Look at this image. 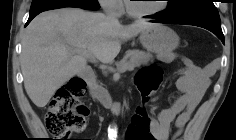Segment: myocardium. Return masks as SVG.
Instances as JSON below:
<instances>
[{"label": "myocardium", "instance_id": "1", "mask_svg": "<svg viewBox=\"0 0 236 140\" xmlns=\"http://www.w3.org/2000/svg\"><path fill=\"white\" fill-rule=\"evenodd\" d=\"M166 8H167V3H166V1H163V3H161V5L159 7L155 8L153 10L137 11L132 8L130 0H128L126 2L127 13L134 18H148V17L154 16V15L162 12Z\"/></svg>", "mask_w": 236, "mask_h": 140}]
</instances>
